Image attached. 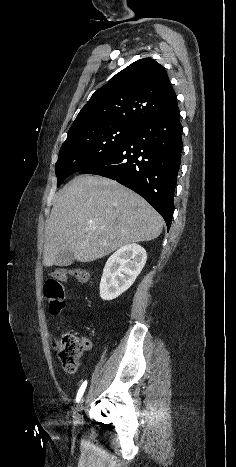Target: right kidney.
<instances>
[{
    "instance_id": "right-kidney-1",
    "label": "right kidney",
    "mask_w": 236,
    "mask_h": 467,
    "mask_svg": "<svg viewBox=\"0 0 236 467\" xmlns=\"http://www.w3.org/2000/svg\"><path fill=\"white\" fill-rule=\"evenodd\" d=\"M146 259V250L138 244H128L118 249L105 264L100 297L113 300L125 292L140 274Z\"/></svg>"
}]
</instances>
